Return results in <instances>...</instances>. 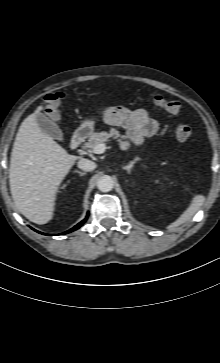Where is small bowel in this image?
<instances>
[{
    "mask_svg": "<svg viewBox=\"0 0 220 363\" xmlns=\"http://www.w3.org/2000/svg\"><path fill=\"white\" fill-rule=\"evenodd\" d=\"M101 116L109 125H121L126 129V137L134 144L154 136L160 128L158 121L151 118L144 109H101Z\"/></svg>",
    "mask_w": 220,
    "mask_h": 363,
    "instance_id": "small-bowel-1",
    "label": "small bowel"
}]
</instances>
